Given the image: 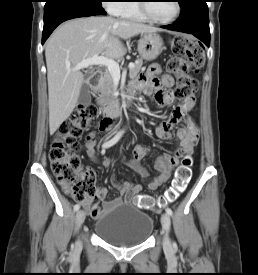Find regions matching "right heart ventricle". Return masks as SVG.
Listing matches in <instances>:
<instances>
[{"mask_svg": "<svg viewBox=\"0 0 258 275\" xmlns=\"http://www.w3.org/2000/svg\"><path fill=\"white\" fill-rule=\"evenodd\" d=\"M122 3L121 7L117 10L115 15L123 18H128L136 21L146 22L148 19L142 14L139 8L138 0H127Z\"/></svg>", "mask_w": 258, "mask_h": 275, "instance_id": "right-heart-ventricle-1", "label": "right heart ventricle"}]
</instances>
